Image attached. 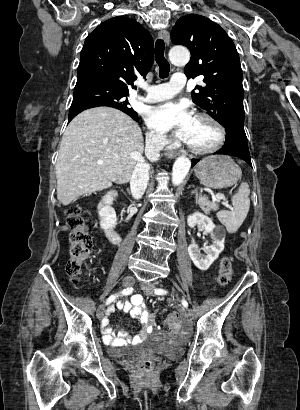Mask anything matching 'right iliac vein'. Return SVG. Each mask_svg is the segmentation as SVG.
Segmentation results:
<instances>
[{"instance_id": "obj_1", "label": "right iliac vein", "mask_w": 300, "mask_h": 410, "mask_svg": "<svg viewBox=\"0 0 300 410\" xmlns=\"http://www.w3.org/2000/svg\"><path fill=\"white\" fill-rule=\"evenodd\" d=\"M135 283V278L133 276H126L123 280H122V285L124 287H131L133 286ZM104 312H105V305L101 304L96 312V316L98 319H102L104 316Z\"/></svg>"}]
</instances>
